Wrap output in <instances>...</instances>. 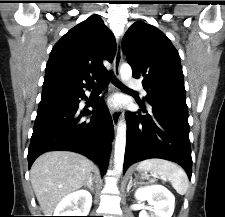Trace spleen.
<instances>
[{"label":"spleen","instance_id":"spleen-1","mask_svg":"<svg viewBox=\"0 0 225 217\" xmlns=\"http://www.w3.org/2000/svg\"><path fill=\"white\" fill-rule=\"evenodd\" d=\"M138 171H150L168 179L178 194L184 195L187 192L189 182L185 171L174 162L152 158L143 160L137 167Z\"/></svg>","mask_w":225,"mask_h":217}]
</instances>
